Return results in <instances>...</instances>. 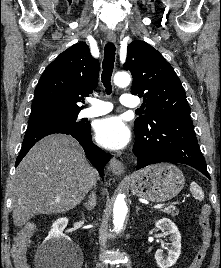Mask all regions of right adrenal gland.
<instances>
[{"label": "right adrenal gland", "instance_id": "1", "mask_svg": "<svg viewBox=\"0 0 221 268\" xmlns=\"http://www.w3.org/2000/svg\"><path fill=\"white\" fill-rule=\"evenodd\" d=\"M96 201H97L96 194H95V192H92L90 197H89V200L85 201L83 204H84L85 208L88 211H90L96 206Z\"/></svg>", "mask_w": 221, "mask_h": 268}]
</instances>
